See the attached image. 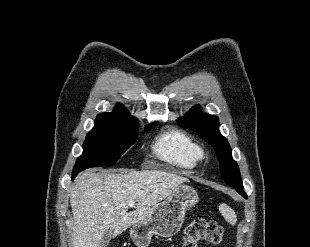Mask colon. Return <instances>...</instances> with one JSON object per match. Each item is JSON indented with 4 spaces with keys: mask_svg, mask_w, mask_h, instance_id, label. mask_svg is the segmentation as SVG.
<instances>
[{
    "mask_svg": "<svg viewBox=\"0 0 310 247\" xmlns=\"http://www.w3.org/2000/svg\"><path fill=\"white\" fill-rule=\"evenodd\" d=\"M200 241L211 244L223 242V228L217 222L197 218L184 230L182 247H198Z\"/></svg>",
    "mask_w": 310,
    "mask_h": 247,
    "instance_id": "colon-1",
    "label": "colon"
}]
</instances>
